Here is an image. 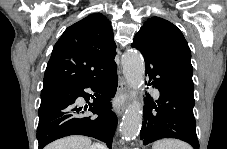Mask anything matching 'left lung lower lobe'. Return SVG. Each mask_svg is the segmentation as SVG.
Returning <instances> with one entry per match:
<instances>
[{
  "instance_id": "0a47b994",
  "label": "left lung lower lobe",
  "mask_w": 227,
  "mask_h": 149,
  "mask_svg": "<svg viewBox=\"0 0 227 149\" xmlns=\"http://www.w3.org/2000/svg\"><path fill=\"white\" fill-rule=\"evenodd\" d=\"M133 48L144 56L149 82L160 92L158 100L150 95L145 98L143 124L140 138L144 145L162 138H176L199 149L196 122L194 86L180 77L155 52L144 35H137Z\"/></svg>"
}]
</instances>
